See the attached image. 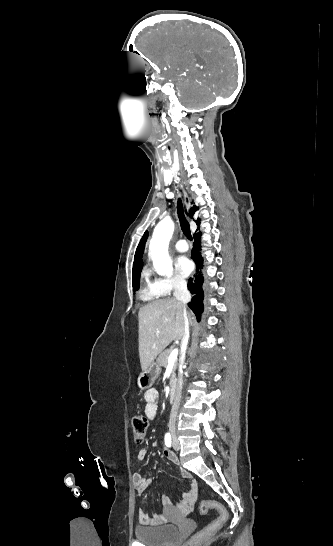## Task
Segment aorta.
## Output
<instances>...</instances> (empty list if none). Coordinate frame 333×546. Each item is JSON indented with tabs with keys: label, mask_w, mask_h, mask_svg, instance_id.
<instances>
[{
	"label": "aorta",
	"mask_w": 333,
	"mask_h": 546,
	"mask_svg": "<svg viewBox=\"0 0 333 546\" xmlns=\"http://www.w3.org/2000/svg\"><path fill=\"white\" fill-rule=\"evenodd\" d=\"M174 231V223L171 219H163L154 229L149 246V254L153 265L159 275L172 276L173 266L169 258L168 246Z\"/></svg>",
	"instance_id": "762f6f07"
}]
</instances>
